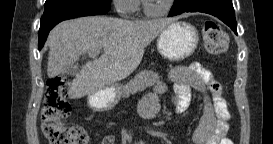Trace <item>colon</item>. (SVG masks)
Segmentation results:
<instances>
[{"mask_svg": "<svg viewBox=\"0 0 273 144\" xmlns=\"http://www.w3.org/2000/svg\"><path fill=\"white\" fill-rule=\"evenodd\" d=\"M203 40L206 49L214 55L228 47V38L223 29L212 20L203 24ZM68 80L54 78L48 81L42 106V131L51 144H85L88 134L81 126H68L64 120L71 111L67 100Z\"/></svg>", "mask_w": 273, "mask_h": 144, "instance_id": "obj_1", "label": "colon"}]
</instances>
